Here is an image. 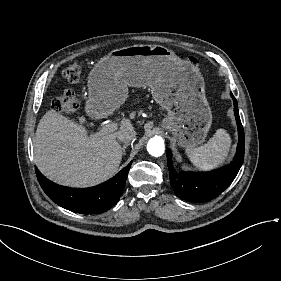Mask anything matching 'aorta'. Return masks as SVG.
Instances as JSON below:
<instances>
[{
    "label": "aorta",
    "mask_w": 281,
    "mask_h": 281,
    "mask_svg": "<svg viewBox=\"0 0 281 281\" xmlns=\"http://www.w3.org/2000/svg\"><path fill=\"white\" fill-rule=\"evenodd\" d=\"M164 150H165V145L162 138L153 137L149 139L147 144V151L149 152L150 155L159 157L163 155Z\"/></svg>",
    "instance_id": "aorta-1"
}]
</instances>
